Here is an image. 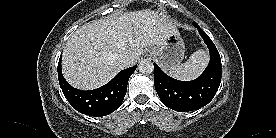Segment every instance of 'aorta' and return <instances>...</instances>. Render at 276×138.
I'll return each mask as SVG.
<instances>
[{
  "mask_svg": "<svg viewBox=\"0 0 276 138\" xmlns=\"http://www.w3.org/2000/svg\"><path fill=\"white\" fill-rule=\"evenodd\" d=\"M138 69L143 74H150L153 72L154 66L150 60H142L139 63Z\"/></svg>",
  "mask_w": 276,
  "mask_h": 138,
  "instance_id": "aorta-1",
  "label": "aorta"
}]
</instances>
